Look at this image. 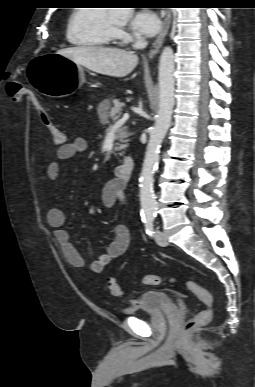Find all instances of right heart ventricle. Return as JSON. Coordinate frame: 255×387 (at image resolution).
<instances>
[{"label": "right heart ventricle", "instance_id": "1", "mask_svg": "<svg viewBox=\"0 0 255 387\" xmlns=\"http://www.w3.org/2000/svg\"><path fill=\"white\" fill-rule=\"evenodd\" d=\"M107 10L102 7L74 9L67 22V40L76 46L99 48L112 44L116 37Z\"/></svg>", "mask_w": 255, "mask_h": 387}]
</instances>
